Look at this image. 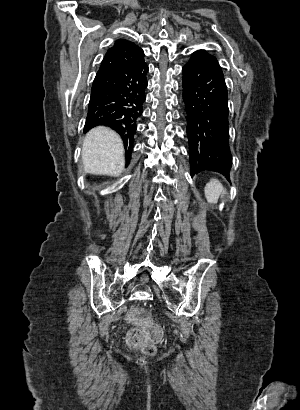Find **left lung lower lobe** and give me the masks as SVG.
Segmentation results:
<instances>
[{
  "instance_id": "left-lung-lower-lobe-1",
  "label": "left lung lower lobe",
  "mask_w": 300,
  "mask_h": 410,
  "mask_svg": "<svg viewBox=\"0 0 300 410\" xmlns=\"http://www.w3.org/2000/svg\"><path fill=\"white\" fill-rule=\"evenodd\" d=\"M191 175L204 170L229 177L228 94L217 59L194 53L182 69Z\"/></svg>"
}]
</instances>
